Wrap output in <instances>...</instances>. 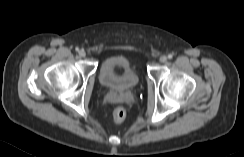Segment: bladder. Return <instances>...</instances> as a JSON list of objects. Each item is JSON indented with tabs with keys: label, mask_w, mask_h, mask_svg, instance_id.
I'll return each instance as SVG.
<instances>
[{
	"label": "bladder",
	"mask_w": 244,
	"mask_h": 157,
	"mask_svg": "<svg viewBox=\"0 0 244 157\" xmlns=\"http://www.w3.org/2000/svg\"><path fill=\"white\" fill-rule=\"evenodd\" d=\"M99 81L103 87L116 94H127L139 85V74L124 56L114 55L104 59L99 67Z\"/></svg>",
	"instance_id": "1"
}]
</instances>
